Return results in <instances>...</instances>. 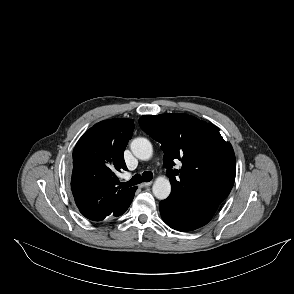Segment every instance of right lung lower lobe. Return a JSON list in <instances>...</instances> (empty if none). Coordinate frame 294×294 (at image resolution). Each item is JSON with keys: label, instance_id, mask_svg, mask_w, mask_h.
Segmentation results:
<instances>
[{"label": "right lung lower lobe", "instance_id": "obj_1", "mask_svg": "<svg viewBox=\"0 0 294 294\" xmlns=\"http://www.w3.org/2000/svg\"><path fill=\"white\" fill-rule=\"evenodd\" d=\"M134 188L135 189L133 190V192L131 193V195L129 196L128 200L125 202V204L122 207H120L118 209V211H116L113 215H111V217L112 216H116V217L117 216H120V215H122L128 209V207L130 206V204H131V202L133 200L134 193H135L137 187H134ZM101 220H103V219H101ZM98 221H100V220H98Z\"/></svg>", "mask_w": 294, "mask_h": 294}]
</instances>
